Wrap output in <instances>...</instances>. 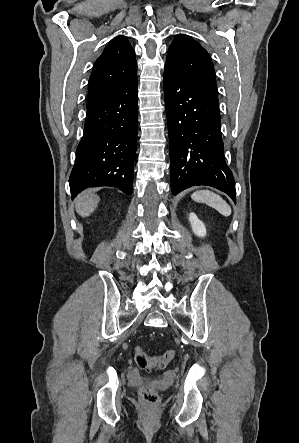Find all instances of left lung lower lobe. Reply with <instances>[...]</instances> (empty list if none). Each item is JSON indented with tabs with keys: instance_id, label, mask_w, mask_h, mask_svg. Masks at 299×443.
<instances>
[{
	"instance_id": "obj_1",
	"label": "left lung lower lobe",
	"mask_w": 299,
	"mask_h": 443,
	"mask_svg": "<svg viewBox=\"0 0 299 443\" xmlns=\"http://www.w3.org/2000/svg\"><path fill=\"white\" fill-rule=\"evenodd\" d=\"M164 95L173 194L193 185H208L236 201L233 174L224 160L218 99L168 66Z\"/></svg>"
}]
</instances>
